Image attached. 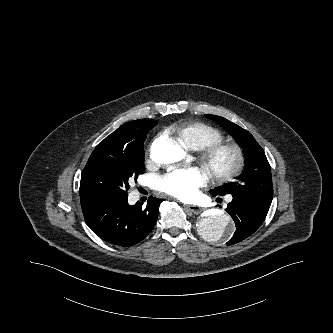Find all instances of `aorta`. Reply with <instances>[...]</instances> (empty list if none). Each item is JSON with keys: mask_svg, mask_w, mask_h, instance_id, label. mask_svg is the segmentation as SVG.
<instances>
[{"mask_svg": "<svg viewBox=\"0 0 333 333\" xmlns=\"http://www.w3.org/2000/svg\"><path fill=\"white\" fill-rule=\"evenodd\" d=\"M184 156L183 149L171 139H159L151 147V157L157 163L169 164L180 161ZM199 229L205 239L226 241L234 227L227 213L213 210L200 219Z\"/></svg>", "mask_w": 333, "mask_h": 333, "instance_id": "762f6f07", "label": "aorta"}]
</instances>
